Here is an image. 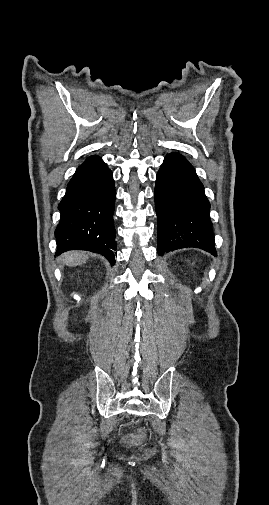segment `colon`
<instances>
[{
  "label": "colon",
  "instance_id": "1",
  "mask_svg": "<svg viewBox=\"0 0 269 505\" xmlns=\"http://www.w3.org/2000/svg\"><path fill=\"white\" fill-rule=\"evenodd\" d=\"M138 441H139V437L135 436V435L127 438V442L131 443V444L137 443Z\"/></svg>",
  "mask_w": 269,
  "mask_h": 505
}]
</instances>
